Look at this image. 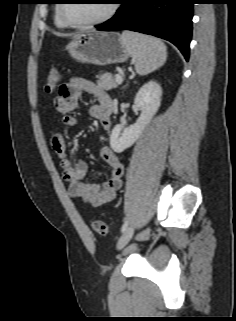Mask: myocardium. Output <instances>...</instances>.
Returning <instances> with one entry per match:
<instances>
[{
  "instance_id": "1",
  "label": "myocardium",
  "mask_w": 236,
  "mask_h": 321,
  "mask_svg": "<svg viewBox=\"0 0 236 321\" xmlns=\"http://www.w3.org/2000/svg\"><path fill=\"white\" fill-rule=\"evenodd\" d=\"M66 4L67 3L62 2L58 6L59 16L67 26H71V27H75V28H88V27L101 25V24L109 21L116 14V12L118 10L117 1L116 0H112V1H110V6H109V9H108L107 13L104 16H102L101 18L93 20V21H89V22H75V21L70 20L66 16V14H65V5Z\"/></svg>"
}]
</instances>
